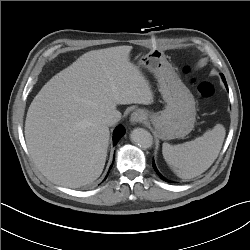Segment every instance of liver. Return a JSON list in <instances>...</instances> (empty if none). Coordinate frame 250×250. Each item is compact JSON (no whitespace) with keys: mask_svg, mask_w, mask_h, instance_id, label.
Listing matches in <instances>:
<instances>
[{"mask_svg":"<svg viewBox=\"0 0 250 250\" xmlns=\"http://www.w3.org/2000/svg\"><path fill=\"white\" fill-rule=\"evenodd\" d=\"M132 46L89 51L53 76L31 102L25 121L29 153L52 182L78 188L100 177L117 105L153 103V92L130 62Z\"/></svg>","mask_w":250,"mask_h":250,"instance_id":"1","label":"liver"}]
</instances>
